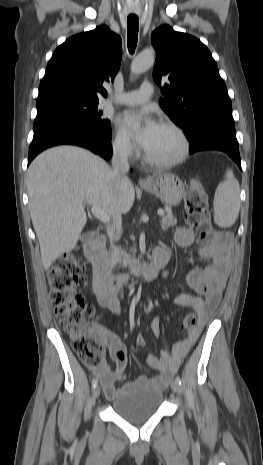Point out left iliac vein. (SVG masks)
<instances>
[{
	"mask_svg": "<svg viewBox=\"0 0 263 465\" xmlns=\"http://www.w3.org/2000/svg\"><path fill=\"white\" fill-rule=\"evenodd\" d=\"M171 389L175 393L179 392V383L176 380L171 382Z\"/></svg>",
	"mask_w": 263,
	"mask_h": 465,
	"instance_id": "1",
	"label": "left iliac vein"
}]
</instances>
